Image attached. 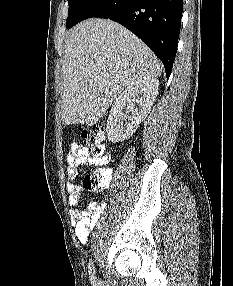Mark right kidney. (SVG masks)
<instances>
[{
  "label": "right kidney",
  "instance_id": "obj_1",
  "mask_svg": "<svg viewBox=\"0 0 233 286\" xmlns=\"http://www.w3.org/2000/svg\"><path fill=\"white\" fill-rule=\"evenodd\" d=\"M159 81L143 76L116 97L107 120V137L111 142L130 138L147 117L158 94Z\"/></svg>",
  "mask_w": 233,
  "mask_h": 286
}]
</instances>
